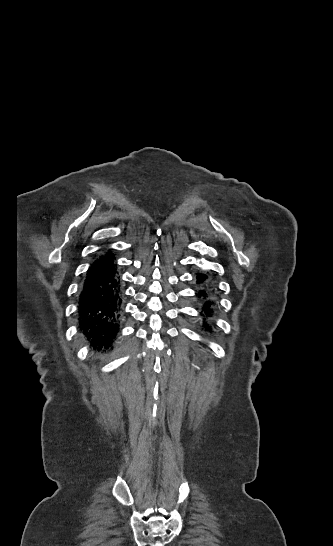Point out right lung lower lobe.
<instances>
[{
    "mask_svg": "<svg viewBox=\"0 0 333 546\" xmlns=\"http://www.w3.org/2000/svg\"><path fill=\"white\" fill-rule=\"evenodd\" d=\"M121 305V280L109 252L91 264L79 293L77 324L93 349L112 348L120 331Z\"/></svg>",
    "mask_w": 333,
    "mask_h": 546,
    "instance_id": "obj_1",
    "label": "right lung lower lobe"
}]
</instances>
